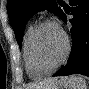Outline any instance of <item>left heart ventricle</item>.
<instances>
[{
	"instance_id": "left-heart-ventricle-1",
	"label": "left heart ventricle",
	"mask_w": 89,
	"mask_h": 89,
	"mask_svg": "<svg viewBox=\"0 0 89 89\" xmlns=\"http://www.w3.org/2000/svg\"><path fill=\"white\" fill-rule=\"evenodd\" d=\"M65 42L62 33L54 25L44 26L35 42V53L39 64L44 67H51L62 56Z\"/></svg>"
}]
</instances>
